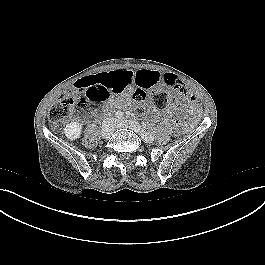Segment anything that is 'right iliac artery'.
Returning <instances> with one entry per match:
<instances>
[{
    "instance_id": "1",
    "label": "right iliac artery",
    "mask_w": 265,
    "mask_h": 265,
    "mask_svg": "<svg viewBox=\"0 0 265 265\" xmlns=\"http://www.w3.org/2000/svg\"><path fill=\"white\" fill-rule=\"evenodd\" d=\"M116 118L119 119V120L123 119V113L122 112H117L116 113Z\"/></svg>"
}]
</instances>
